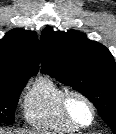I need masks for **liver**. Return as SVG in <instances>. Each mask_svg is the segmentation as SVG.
<instances>
[{
	"label": "liver",
	"mask_w": 116,
	"mask_h": 134,
	"mask_svg": "<svg viewBox=\"0 0 116 134\" xmlns=\"http://www.w3.org/2000/svg\"><path fill=\"white\" fill-rule=\"evenodd\" d=\"M0 134H37L35 131H26V132H11L0 130Z\"/></svg>",
	"instance_id": "1"
}]
</instances>
